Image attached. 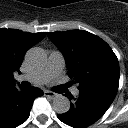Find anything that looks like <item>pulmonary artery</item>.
<instances>
[{
  "label": "pulmonary artery",
  "mask_w": 128,
  "mask_h": 128,
  "mask_svg": "<svg viewBox=\"0 0 128 128\" xmlns=\"http://www.w3.org/2000/svg\"><path fill=\"white\" fill-rule=\"evenodd\" d=\"M64 65L65 61L63 55L58 51H51L45 68L21 75L18 79L20 81H28L35 85H43L58 76L62 72ZM72 93L76 96L79 90L74 88Z\"/></svg>",
  "instance_id": "e3ab8cb5"
}]
</instances>
